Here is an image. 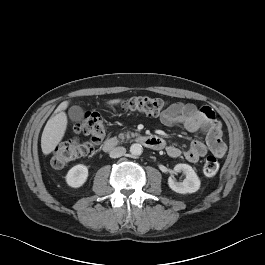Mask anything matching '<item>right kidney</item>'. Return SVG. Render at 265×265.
I'll use <instances>...</instances> for the list:
<instances>
[{"instance_id":"ca27d5eb","label":"right kidney","mask_w":265,"mask_h":265,"mask_svg":"<svg viewBox=\"0 0 265 265\" xmlns=\"http://www.w3.org/2000/svg\"><path fill=\"white\" fill-rule=\"evenodd\" d=\"M87 178L88 168L83 164H78L68 171L66 175V182L69 186L78 188L86 182Z\"/></svg>"}]
</instances>
